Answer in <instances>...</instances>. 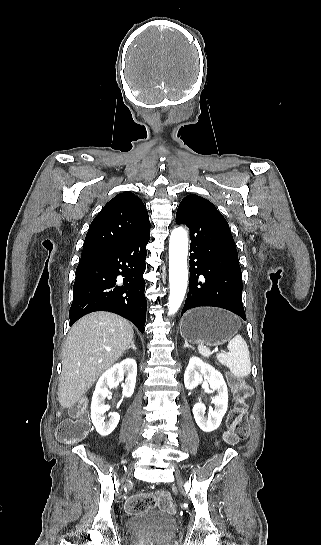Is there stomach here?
<instances>
[{"label":"stomach","instance_id":"obj_1","mask_svg":"<svg viewBox=\"0 0 321 545\" xmlns=\"http://www.w3.org/2000/svg\"><path fill=\"white\" fill-rule=\"evenodd\" d=\"M240 327L239 319L224 309L199 307L184 315L180 333L189 343H205L209 347H217L227 343Z\"/></svg>","mask_w":321,"mask_h":545}]
</instances>
